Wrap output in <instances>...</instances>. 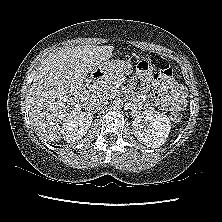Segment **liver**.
I'll list each match as a JSON object with an SVG mask.
<instances>
[{
    "label": "liver",
    "instance_id": "obj_1",
    "mask_svg": "<svg viewBox=\"0 0 222 222\" xmlns=\"http://www.w3.org/2000/svg\"><path fill=\"white\" fill-rule=\"evenodd\" d=\"M113 50V46L79 45L55 50L42 60L29 90L28 110L43 138L58 142L67 121L88 104L90 91L84 81L92 69L117 72L122 61H108Z\"/></svg>",
    "mask_w": 222,
    "mask_h": 222
}]
</instances>
